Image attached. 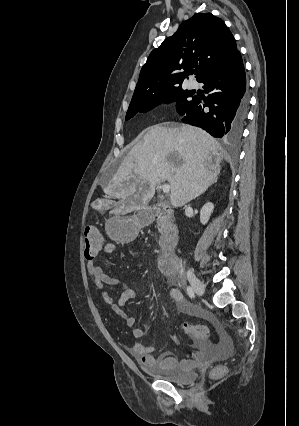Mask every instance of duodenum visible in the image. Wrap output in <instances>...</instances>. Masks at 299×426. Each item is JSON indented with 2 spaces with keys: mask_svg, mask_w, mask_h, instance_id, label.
<instances>
[{
  "mask_svg": "<svg viewBox=\"0 0 299 426\" xmlns=\"http://www.w3.org/2000/svg\"><path fill=\"white\" fill-rule=\"evenodd\" d=\"M165 213L166 208L163 205H158L138 213L137 221L141 225L149 224ZM176 245L177 233L175 231L168 232L161 242L162 251L158 259V267L165 275H174L177 271Z\"/></svg>",
  "mask_w": 299,
  "mask_h": 426,
  "instance_id": "410a0bca",
  "label": "duodenum"
}]
</instances>
